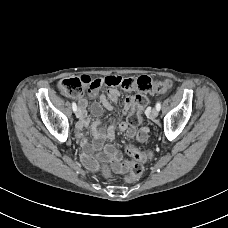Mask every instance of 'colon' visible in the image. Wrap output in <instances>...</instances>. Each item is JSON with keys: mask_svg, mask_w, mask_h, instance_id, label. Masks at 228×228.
I'll return each instance as SVG.
<instances>
[{"mask_svg": "<svg viewBox=\"0 0 228 228\" xmlns=\"http://www.w3.org/2000/svg\"><path fill=\"white\" fill-rule=\"evenodd\" d=\"M103 86H121L126 90L136 91L132 111L128 117V123L132 127L138 126L141 121V113L147 105V94L163 93L167 91L171 82L169 80L153 81L148 76H140L137 78H122L119 76H107L102 79L91 81L86 77L67 78L60 81L58 87L64 95L78 96L87 88L89 91L97 90ZM126 153L134 160L127 161L123 168L126 172L125 180L134 182L139 179L143 173V162L152 158L151 151H140L136 147L129 145L126 147ZM105 176H111V169L108 164L104 163L101 167Z\"/></svg>", "mask_w": 228, "mask_h": 228, "instance_id": "colon-1", "label": "colon"}]
</instances>
